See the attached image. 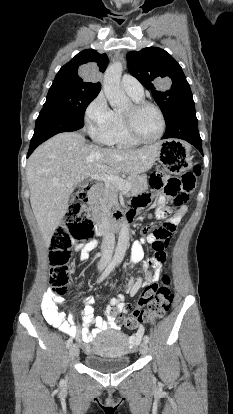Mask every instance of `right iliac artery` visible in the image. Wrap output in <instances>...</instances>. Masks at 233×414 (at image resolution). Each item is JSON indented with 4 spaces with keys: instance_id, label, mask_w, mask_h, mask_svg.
<instances>
[{
    "instance_id": "obj_1",
    "label": "right iliac artery",
    "mask_w": 233,
    "mask_h": 414,
    "mask_svg": "<svg viewBox=\"0 0 233 414\" xmlns=\"http://www.w3.org/2000/svg\"><path fill=\"white\" fill-rule=\"evenodd\" d=\"M116 265V262L112 261L107 268L104 270V272L101 274V276L98 278L97 283H101L114 269ZM73 340L72 338H69L66 342V347L69 348L72 344Z\"/></svg>"
}]
</instances>
